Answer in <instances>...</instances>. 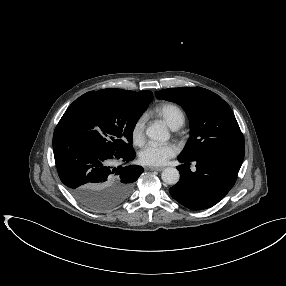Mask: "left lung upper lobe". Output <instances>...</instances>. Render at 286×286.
<instances>
[{
    "instance_id": "5c2ea615",
    "label": "left lung upper lobe",
    "mask_w": 286,
    "mask_h": 286,
    "mask_svg": "<svg viewBox=\"0 0 286 286\" xmlns=\"http://www.w3.org/2000/svg\"><path fill=\"white\" fill-rule=\"evenodd\" d=\"M155 95L182 106L189 118L190 139L180 157L192 161L203 155H222L243 161V134L232 109L219 95L200 87L163 89Z\"/></svg>"
}]
</instances>
